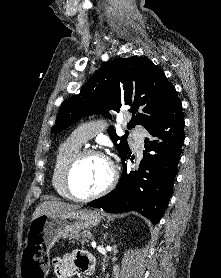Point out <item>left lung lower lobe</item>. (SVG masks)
<instances>
[{"instance_id": "1", "label": "left lung lower lobe", "mask_w": 221, "mask_h": 278, "mask_svg": "<svg viewBox=\"0 0 221 278\" xmlns=\"http://www.w3.org/2000/svg\"><path fill=\"white\" fill-rule=\"evenodd\" d=\"M143 157L132 170L121 157L123 172L117 187L109 194L87 203L110 213L136 211L157 224L164 214L173 190L177 164L184 141V118L180 100L155 123L146 127Z\"/></svg>"}]
</instances>
